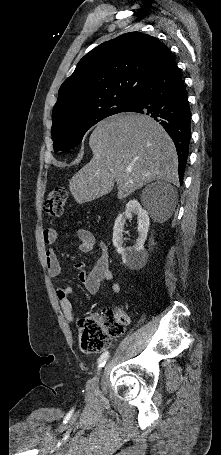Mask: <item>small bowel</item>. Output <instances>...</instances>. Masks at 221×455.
I'll use <instances>...</instances> for the list:
<instances>
[{
    "label": "small bowel",
    "instance_id": "c3829d8e",
    "mask_svg": "<svg viewBox=\"0 0 221 455\" xmlns=\"http://www.w3.org/2000/svg\"><path fill=\"white\" fill-rule=\"evenodd\" d=\"M76 236L78 239V249L81 252H91L97 245L94 235L87 229H77ZM56 238L57 236L54 228H47L44 230L43 240L47 245H50L45 251V261L48 274L51 277H56L60 273L57 251L55 248L51 247L56 241ZM98 250L99 253L96 263L89 273L85 271L83 262H76L74 264L75 268L78 270L79 280L90 294H96L99 291L102 282L110 283L112 291L119 294L121 292V286L114 281L113 274L109 269L108 250L102 243L98 244ZM72 293L73 289L68 285L59 286L56 290L61 310L68 323H73L74 321L73 306L71 302Z\"/></svg>",
    "mask_w": 221,
    "mask_h": 455
}]
</instances>
